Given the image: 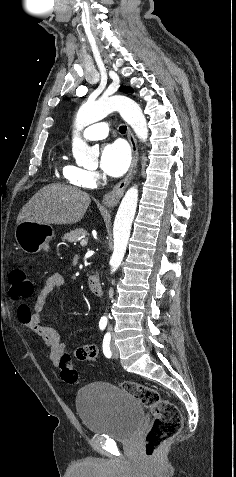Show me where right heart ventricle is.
Instances as JSON below:
<instances>
[{
	"instance_id": "obj_1",
	"label": "right heart ventricle",
	"mask_w": 236,
	"mask_h": 477,
	"mask_svg": "<svg viewBox=\"0 0 236 477\" xmlns=\"http://www.w3.org/2000/svg\"><path fill=\"white\" fill-rule=\"evenodd\" d=\"M63 171L64 172L71 171V172H74V173H77V174H81V173L84 172V169H82L80 167H77V166L67 165V166L64 167ZM70 183L74 186H80L77 183H72V182H70Z\"/></svg>"
}]
</instances>
